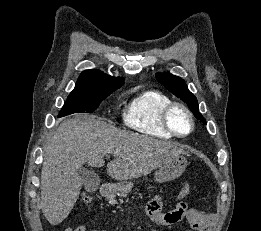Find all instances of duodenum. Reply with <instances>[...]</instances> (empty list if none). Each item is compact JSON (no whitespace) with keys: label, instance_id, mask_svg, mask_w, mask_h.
Returning <instances> with one entry per match:
<instances>
[{"label":"duodenum","instance_id":"duodenum-1","mask_svg":"<svg viewBox=\"0 0 261 231\" xmlns=\"http://www.w3.org/2000/svg\"><path fill=\"white\" fill-rule=\"evenodd\" d=\"M113 189L109 185H102L99 189V194L103 197H106L112 193Z\"/></svg>","mask_w":261,"mask_h":231}]
</instances>
